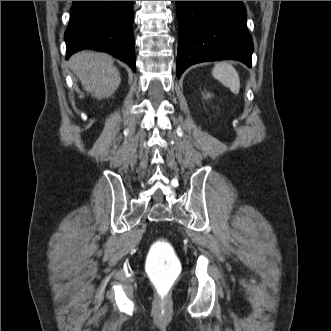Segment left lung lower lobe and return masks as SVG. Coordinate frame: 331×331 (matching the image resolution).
Instances as JSON below:
<instances>
[{
	"label": "left lung lower lobe",
	"mask_w": 331,
	"mask_h": 331,
	"mask_svg": "<svg viewBox=\"0 0 331 331\" xmlns=\"http://www.w3.org/2000/svg\"><path fill=\"white\" fill-rule=\"evenodd\" d=\"M180 78L192 64L234 59L251 67L252 37L242 1H176Z\"/></svg>",
	"instance_id": "0a47b994"
}]
</instances>
